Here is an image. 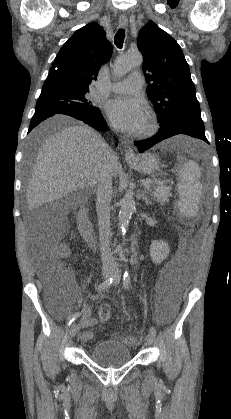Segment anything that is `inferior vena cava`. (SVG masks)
I'll list each match as a JSON object with an SVG mask.
<instances>
[{
  "instance_id": "inferior-vena-cava-1",
  "label": "inferior vena cava",
  "mask_w": 231,
  "mask_h": 419,
  "mask_svg": "<svg viewBox=\"0 0 231 419\" xmlns=\"http://www.w3.org/2000/svg\"><path fill=\"white\" fill-rule=\"evenodd\" d=\"M107 159H114L116 154L111 148L106 149ZM112 196V176L105 165L96 186V211L98 216L100 250L103 264L115 266L116 262L110 250V201Z\"/></svg>"
}]
</instances>
